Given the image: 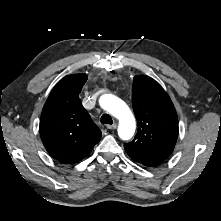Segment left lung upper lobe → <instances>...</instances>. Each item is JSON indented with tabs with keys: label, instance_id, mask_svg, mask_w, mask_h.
I'll return each instance as SVG.
<instances>
[{
	"label": "left lung upper lobe",
	"instance_id": "obj_1",
	"mask_svg": "<svg viewBox=\"0 0 221 221\" xmlns=\"http://www.w3.org/2000/svg\"><path fill=\"white\" fill-rule=\"evenodd\" d=\"M132 106L138 132L124 144L131 159L155 167L173 152L178 137V117L164 89L152 78L138 75L133 79Z\"/></svg>",
	"mask_w": 221,
	"mask_h": 221
}]
</instances>
